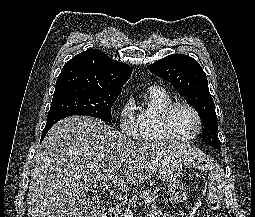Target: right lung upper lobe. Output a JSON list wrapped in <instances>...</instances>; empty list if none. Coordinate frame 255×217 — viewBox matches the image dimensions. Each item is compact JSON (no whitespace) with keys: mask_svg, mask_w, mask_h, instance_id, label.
I'll return each mask as SVG.
<instances>
[{"mask_svg":"<svg viewBox=\"0 0 255 217\" xmlns=\"http://www.w3.org/2000/svg\"><path fill=\"white\" fill-rule=\"evenodd\" d=\"M131 73L132 69L127 64L111 59L98 49H89L63 66L56 89L78 86L120 92Z\"/></svg>","mask_w":255,"mask_h":217,"instance_id":"1","label":"right lung upper lobe"}]
</instances>
